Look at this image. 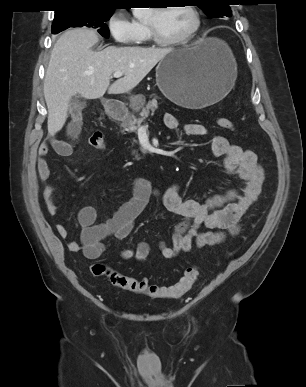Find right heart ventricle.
Wrapping results in <instances>:
<instances>
[{"label":"right heart ventricle","instance_id":"1","mask_svg":"<svg viewBox=\"0 0 306 387\" xmlns=\"http://www.w3.org/2000/svg\"><path fill=\"white\" fill-rule=\"evenodd\" d=\"M135 23L138 29V37H137L136 43L146 44L149 40V34L146 27V23L141 20L135 21Z\"/></svg>","mask_w":306,"mask_h":387}]
</instances>
